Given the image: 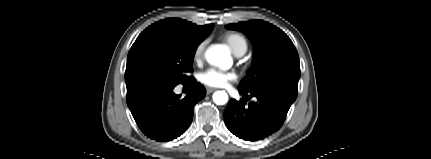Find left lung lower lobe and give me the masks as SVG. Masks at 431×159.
Returning a JSON list of instances; mask_svg holds the SVG:
<instances>
[{
	"instance_id": "obj_1",
	"label": "left lung lower lobe",
	"mask_w": 431,
	"mask_h": 159,
	"mask_svg": "<svg viewBox=\"0 0 431 159\" xmlns=\"http://www.w3.org/2000/svg\"><path fill=\"white\" fill-rule=\"evenodd\" d=\"M239 92L244 97H254L255 101L245 105L249 99H231L224 111V120L234 135L246 141H257L277 131L297 97V93L277 86L251 92L239 89Z\"/></svg>"
}]
</instances>
